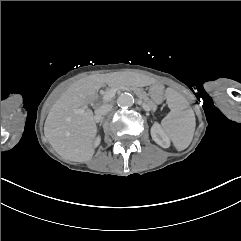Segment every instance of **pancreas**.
<instances>
[{
    "label": "pancreas",
    "mask_w": 241,
    "mask_h": 241,
    "mask_svg": "<svg viewBox=\"0 0 241 241\" xmlns=\"http://www.w3.org/2000/svg\"><path fill=\"white\" fill-rule=\"evenodd\" d=\"M120 87L123 88V89H125V90L127 89L128 91H131V90H132L133 92H137V93H136L137 96L140 97V98L143 100V102L148 105L147 107H148L149 110L152 111V110L155 109L156 106H155V104L153 103V102H154L153 99L150 98V97L147 95V93L144 92L143 90L140 89V90L137 91V88H136V87H133V88H132L131 86H127V85H122V86H121L120 84H118V85H116V86H113V88H117V89L120 88ZM109 91H110V89H107V90H106V93L109 92ZM106 93H105V94H106Z\"/></svg>",
    "instance_id": "cf45deb5"
}]
</instances>
